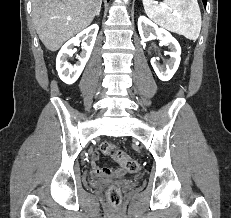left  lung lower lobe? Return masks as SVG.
Segmentation results:
<instances>
[{"instance_id":"1","label":"left lung lower lobe","mask_w":231,"mask_h":218,"mask_svg":"<svg viewBox=\"0 0 231 218\" xmlns=\"http://www.w3.org/2000/svg\"><path fill=\"white\" fill-rule=\"evenodd\" d=\"M202 1H203L205 8H206L207 0H202Z\"/></svg>"}]
</instances>
